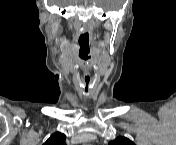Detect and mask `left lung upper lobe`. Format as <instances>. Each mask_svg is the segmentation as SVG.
<instances>
[{
    "mask_svg": "<svg viewBox=\"0 0 176 145\" xmlns=\"http://www.w3.org/2000/svg\"><path fill=\"white\" fill-rule=\"evenodd\" d=\"M109 145H135V144L128 138L119 136L115 140L111 141Z\"/></svg>",
    "mask_w": 176,
    "mask_h": 145,
    "instance_id": "left-lung-upper-lobe-1",
    "label": "left lung upper lobe"
}]
</instances>
